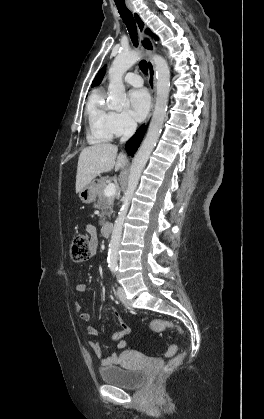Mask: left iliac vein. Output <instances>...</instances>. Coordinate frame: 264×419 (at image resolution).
Returning a JSON list of instances; mask_svg holds the SVG:
<instances>
[{"label": "left iliac vein", "mask_w": 264, "mask_h": 419, "mask_svg": "<svg viewBox=\"0 0 264 419\" xmlns=\"http://www.w3.org/2000/svg\"><path fill=\"white\" fill-rule=\"evenodd\" d=\"M117 295L123 304H127L126 294H125L124 289L121 286H119L117 289Z\"/></svg>", "instance_id": "4c4485c4"}]
</instances>
